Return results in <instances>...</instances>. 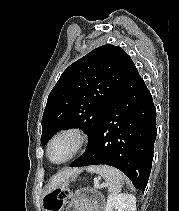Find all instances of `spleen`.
Here are the masks:
<instances>
[{"label": "spleen", "instance_id": "1", "mask_svg": "<svg viewBox=\"0 0 179 211\" xmlns=\"http://www.w3.org/2000/svg\"><path fill=\"white\" fill-rule=\"evenodd\" d=\"M90 173L100 175L105 180V185L108 187V192L111 194H118L121 192L123 186L122 173L111 166H90L87 168Z\"/></svg>", "mask_w": 179, "mask_h": 211}]
</instances>
